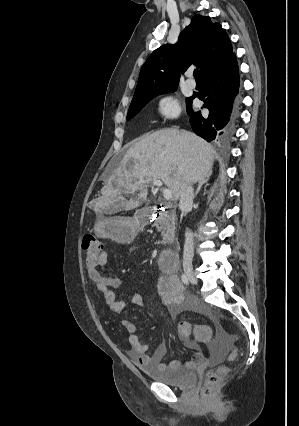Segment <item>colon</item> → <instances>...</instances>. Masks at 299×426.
Listing matches in <instances>:
<instances>
[{"label": "colon", "instance_id": "5ec220e1", "mask_svg": "<svg viewBox=\"0 0 299 426\" xmlns=\"http://www.w3.org/2000/svg\"><path fill=\"white\" fill-rule=\"evenodd\" d=\"M103 250L102 243L93 235L86 234L82 241L83 256L87 265L88 270H92L97 266L101 251ZM179 335L183 338L193 336L197 342L207 343L211 340L212 331L207 325H193L189 322L182 321L178 325ZM218 332L223 335V330L218 327ZM231 340H234V336H228ZM235 353L232 352L230 357L233 358ZM227 367L218 366L210 371L205 379L201 395L204 399H210L220 382L224 379L227 374Z\"/></svg>", "mask_w": 299, "mask_h": 426}]
</instances>
